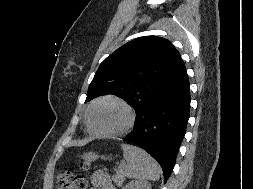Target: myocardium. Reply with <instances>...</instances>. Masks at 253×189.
<instances>
[{
	"label": "myocardium",
	"mask_w": 253,
	"mask_h": 189,
	"mask_svg": "<svg viewBox=\"0 0 253 189\" xmlns=\"http://www.w3.org/2000/svg\"><path fill=\"white\" fill-rule=\"evenodd\" d=\"M107 101H111V102H115L119 105H121L127 112V121L125 123V125L120 128L119 130L116 131H112V132H100L97 131L91 122V113L92 110L94 109V107H96L98 104L103 103V102H107ZM135 119H136V115H135V111L133 110V108L122 98L117 97V96H113V95H108V96H104L101 97L97 100H95L87 109L86 115H85V121H86V125L88 130L94 134L95 136L98 137H102V138H113V137H119L122 136L124 134H126L127 132H129L135 123Z\"/></svg>",
	"instance_id": "1"
}]
</instances>
